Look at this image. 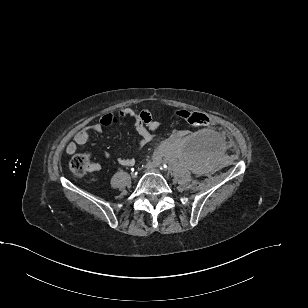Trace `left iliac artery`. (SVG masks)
<instances>
[{"mask_svg": "<svg viewBox=\"0 0 308 308\" xmlns=\"http://www.w3.org/2000/svg\"><path fill=\"white\" fill-rule=\"evenodd\" d=\"M160 169H161V170H167V169H168V166H167L166 164L161 165V166H160Z\"/></svg>", "mask_w": 308, "mask_h": 308, "instance_id": "1", "label": "left iliac artery"}]
</instances>
